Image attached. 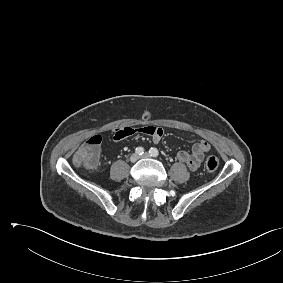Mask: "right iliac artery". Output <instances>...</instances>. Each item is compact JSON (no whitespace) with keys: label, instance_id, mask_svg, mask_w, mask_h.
I'll list each match as a JSON object with an SVG mask.
<instances>
[{"label":"right iliac artery","instance_id":"1","mask_svg":"<svg viewBox=\"0 0 283 283\" xmlns=\"http://www.w3.org/2000/svg\"><path fill=\"white\" fill-rule=\"evenodd\" d=\"M135 152L138 154V155H142L144 153V149L142 147H137Z\"/></svg>","mask_w":283,"mask_h":283}]
</instances>
